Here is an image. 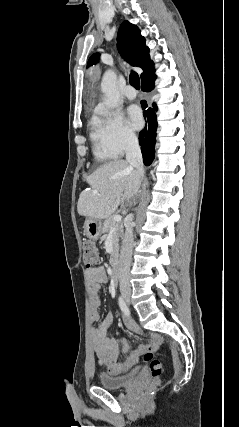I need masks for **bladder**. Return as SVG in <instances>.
<instances>
[{"label": "bladder", "mask_w": 239, "mask_h": 427, "mask_svg": "<svg viewBox=\"0 0 239 427\" xmlns=\"http://www.w3.org/2000/svg\"><path fill=\"white\" fill-rule=\"evenodd\" d=\"M139 372L140 369L136 367L125 375H111L108 373H101L98 379L102 387L110 390H116L130 385L137 378Z\"/></svg>", "instance_id": "bladder-1"}]
</instances>
